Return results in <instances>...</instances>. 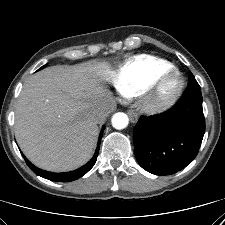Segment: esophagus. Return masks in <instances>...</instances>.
Segmentation results:
<instances>
[{
    "label": "esophagus",
    "instance_id": "obj_1",
    "mask_svg": "<svg viewBox=\"0 0 225 225\" xmlns=\"http://www.w3.org/2000/svg\"><path fill=\"white\" fill-rule=\"evenodd\" d=\"M128 115L130 117L131 122L135 123L138 120L137 113L134 110H129Z\"/></svg>",
    "mask_w": 225,
    "mask_h": 225
}]
</instances>
